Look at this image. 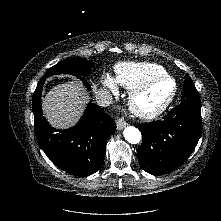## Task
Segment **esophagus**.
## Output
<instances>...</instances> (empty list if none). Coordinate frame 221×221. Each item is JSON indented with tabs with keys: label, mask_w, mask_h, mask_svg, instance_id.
<instances>
[{
	"label": "esophagus",
	"mask_w": 221,
	"mask_h": 221,
	"mask_svg": "<svg viewBox=\"0 0 221 221\" xmlns=\"http://www.w3.org/2000/svg\"><path fill=\"white\" fill-rule=\"evenodd\" d=\"M116 125H117V128L121 130L127 125V123L125 122L123 117H120L116 120Z\"/></svg>",
	"instance_id": "esophagus-1"
}]
</instances>
